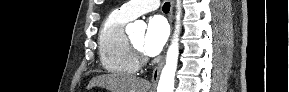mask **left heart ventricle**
Segmentation results:
<instances>
[{"instance_id": "1", "label": "left heart ventricle", "mask_w": 289, "mask_h": 92, "mask_svg": "<svg viewBox=\"0 0 289 92\" xmlns=\"http://www.w3.org/2000/svg\"><path fill=\"white\" fill-rule=\"evenodd\" d=\"M144 36H145L144 33L140 32L131 37L132 42L141 50L143 46Z\"/></svg>"}]
</instances>
